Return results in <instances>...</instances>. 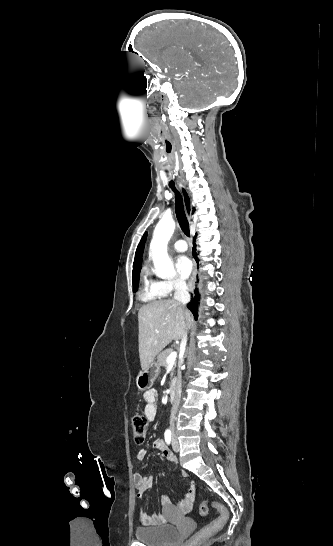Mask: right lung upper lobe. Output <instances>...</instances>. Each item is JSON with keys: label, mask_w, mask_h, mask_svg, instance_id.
Instances as JSON below:
<instances>
[{"label": "right lung upper lobe", "mask_w": 333, "mask_h": 546, "mask_svg": "<svg viewBox=\"0 0 333 546\" xmlns=\"http://www.w3.org/2000/svg\"><path fill=\"white\" fill-rule=\"evenodd\" d=\"M195 209L193 208V211ZM146 237H147V232L143 235L138 247H137V250H136V254H135V261H134V264H136L138 266V273L140 272V269L141 267L139 266V263H141L142 261V254H143V250H144V246H145V241H146ZM133 264V265H134ZM135 282V279L133 278V283Z\"/></svg>", "instance_id": "cb5924a9"}]
</instances>
